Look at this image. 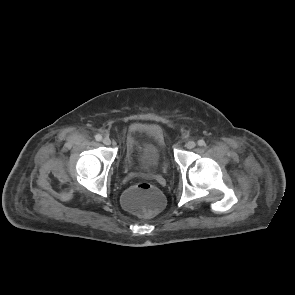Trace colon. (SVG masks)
Segmentation results:
<instances>
[{
    "instance_id": "1",
    "label": "colon",
    "mask_w": 295,
    "mask_h": 295,
    "mask_svg": "<svg viewBox=\"0 0 295 295\" xmlns=\"http://www.w3.org/2000/svg\"><path fill=\"white\" fill-rule=\"evenodd\" d=\"M123 202L127 208L144 216H150L162 207L163 196L154 186L139 183L125 192Z\"/></svg>"
}]
</instances>
